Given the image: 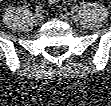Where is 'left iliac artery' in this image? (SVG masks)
<instances>
[{"label":"left iliac artery","mask_w":111,"mask_h":106,"mask_svg":"<svg viewBox=\"0 0 111 106\" xmlns=\"http://www.w3.org/2000/svg\"><path fill=\"white\" fill-rule=\"evenodd\" d=\"M78 10V8L76 6L71 8L72 13L76 12Z\"/></svg>","instance_id":"obj_1"}]
</instances>
